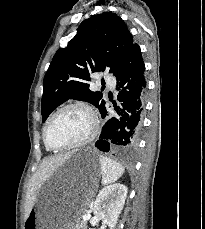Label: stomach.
<instances>
[{
	"label": "stomach",
	"instance_id": "1",
	"mask_svg": "<svg viewBox=\"0 0 205 229\" xmlns=\"http://www.w3.org/2000/svg\"><path fill=\"white\" fill-rule=\"evenodd\" d=\"M100 175L101 167L92 151L71 154L56 182L37 199L23 229H76Z\"/></svg>",
	"mask_w": 205,
	"mask_h": 229
}]
</instances>
